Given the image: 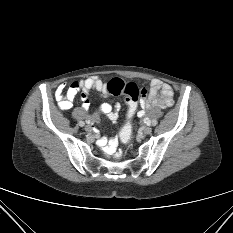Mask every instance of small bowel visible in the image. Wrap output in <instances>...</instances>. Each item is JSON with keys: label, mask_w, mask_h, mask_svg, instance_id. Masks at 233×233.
<instances>
[{"label": "small bowel", "mask_w": 233, "mask_h": 233, "mask_svg": "<svg viewBox=\"0 0 233 233\" xmlns=\"http://www.w3.org/2000/svg\"><path fill=\"white\" fill-rule=\"evenodd\" d=\"M65 84H60L55 91V97L58 101V107L61 110H69L73 106V100L76 95L81 92L82 108L88 110L90 100L88 93L91 90H96L102 95H109L108 84L98 76H92L81 81L72 82L66 93H64ZM174 91L170 84L159 79H152L147 96L140 101V109L137 111L138 117H144L145 109L150 106L167 107L173 104ZM121 110V105L116 103L111 105L108 103L101 104L96 113L89 117V121L97 122L100 115L106 116L112 123H115L118 118V113ZM107 154H113L114 158L119 159L121 151L117 149L116 139H111L104 147Z\"/></svg>", "instance_id": "1"}]
</instances>
